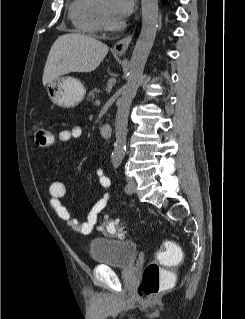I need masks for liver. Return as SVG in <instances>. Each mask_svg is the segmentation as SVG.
<instances>
[{"label":"liver","instance_id":"obj_1","mask_svg":"<svg viewBox=\"0 0 245 319\" xmlns=\"http://www.w3.org/2000/svg\"><path fill=\"white\" fill-rule=\"evenodd\" d=\"M108 53V46L81 33L59 36L52 45L43 73V85L71 72L94 71Z\"/></svg>","mask_w":245,"mask_h":319}]
</instances>
